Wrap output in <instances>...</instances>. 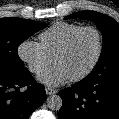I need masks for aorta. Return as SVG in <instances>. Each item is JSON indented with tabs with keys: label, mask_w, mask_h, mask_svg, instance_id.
<instances>
[{
	"label": "aorta",
	"mask_w": 119,
	"mask_h": 119,
	"mask_svg": "<svg viewBox=\"0 0 119 119\" xmlns=\"http://www.w3.org/2000/svg\"><path fill=\"white\" fill-rule=\"evenodd\" d=\"M47 107L50 110H60L62 107V98L59 95H51L46 99Z\"/></svg>",
	"instance_id": "762f6f07"
}]
</instances>
